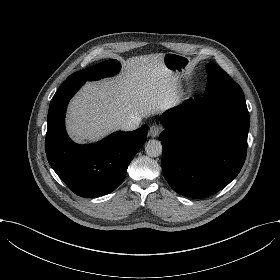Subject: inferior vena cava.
I'll return each instance as SVG.
<instances>
[{
	"mask_svg": "<svg viewBox=\"0 0 280 280\" xmlns=\"http://www.w3.org/2000/svg\"><path fill=\"white\" fill-rule=\"evenodd\" d=\"M141 119L137 116H132L130 120L122 124L121 130L123 131H133L139 127Z\"/></svg>",
	"mask_w": 280,
	"mask_h": 280,
	"instance_id": "inferior-vena-cava-1",
	"label": "inferior vena cava"
}]
</instances>
